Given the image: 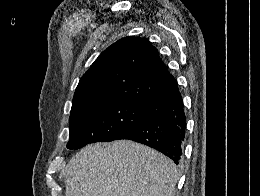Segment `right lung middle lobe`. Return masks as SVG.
<instances>
[{
  "mask_svg": "<svg viewBox=\"0 0 260 196\" xmlns=\"http://www.w3.org/2000/svg\"><path fill=\"white\" fill-rule=\"evenodd\" d=\"M150 117L140 103L119 98L72 106L67 148L116 140Z\"/></svg>",
  "mask_w": 260,
  "mask_h": 196,
  "instance_id": "right-lung-middle-lobe-1",
  "label": "right lung middle lobe"
}]
</instances>
